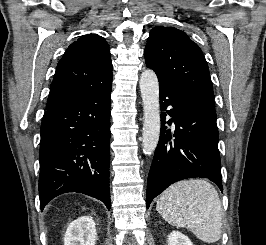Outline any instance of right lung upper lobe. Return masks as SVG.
<instances>
[{
  "instance_id": "1",
  "label": "right lung upper lobe",
  "mask_w": 266,
  "mask_h": 245,
  "mask_svg": "<svg viewBox=\"0 0 266 245\" xmlns=\"http://www.w3.org/2000/svg\"><path fill=\"white\" fill-rule=\"evenodd\" d=\"M112 69L105 39L96 34L81 36L68 47L57 65L47 109L83 90H99L112 84Z\"/></svg>"
}]
</instances>
